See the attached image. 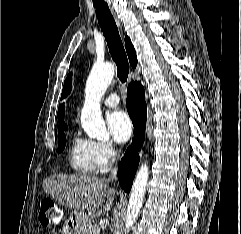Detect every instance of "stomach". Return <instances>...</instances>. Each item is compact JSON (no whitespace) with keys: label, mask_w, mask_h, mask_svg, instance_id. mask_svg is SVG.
Here are the masks:
<instances>
[{"label":"stomach","mask_w":241,"mask_h":234,"mask_svg":"<svg viewBox=\"0 0 241 234\" xmlns=\"http://www.w3.org/2000/svg\"><path fill=\"white\" fill-rule=\"evenodd\" d=\"M88 216L81 211L71 213L63 228L64 234H82L88 226Z\"/></svg>","instance_id":"1"}]
</instances>
